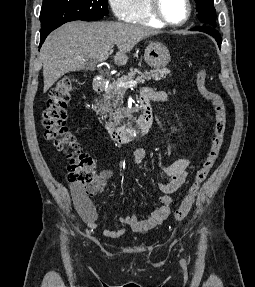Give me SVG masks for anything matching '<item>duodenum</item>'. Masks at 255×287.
Instances as JSON below:
<instances>
[{
	"label": "duodenum",
	"instance_id": "obj_1",
	"mask_svg": "<svg viewBox=\"0 0 255 287\" xmlns=\"http://www.w3.org/2000/svg\"><path fill=\"white\" fill-rule=\"evenodd\" d=\"M107 87V82L103 78H97L94 81L93 89L95 94L102 93ZM153 94L144 90L139 95V102L142 107V114L134 127H108L111 139L117 144H124L133 140L136 136L145 135L151 128L153 114L150 101Z\"/></svg>",
	"mask_w": 255,
	"mask_h": 287
}]
</instances>
